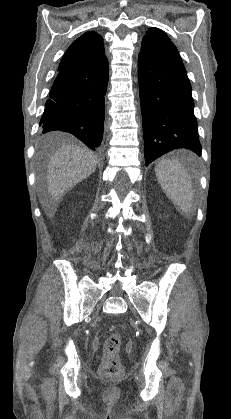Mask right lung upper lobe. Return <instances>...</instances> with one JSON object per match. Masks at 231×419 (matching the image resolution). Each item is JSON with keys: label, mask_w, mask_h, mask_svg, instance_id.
I'll return each instance as SVG.
<instances>
[{"label": "right lung upper lobe", "mask_w": 231, "mask_h": 419, "mask_svg": "<svg viewBox=\"0 0 231 419\" xmlns=\"http://www.w3.org/2000/svg\"><path fill=\"white\" fill-rule=\"evenodd\" d=\"M102 37L88 31L76 39L64 54L58 70L67 67L93 65L106 60Z\"/></svg>", "instance_id": "1"}]
</instances>
